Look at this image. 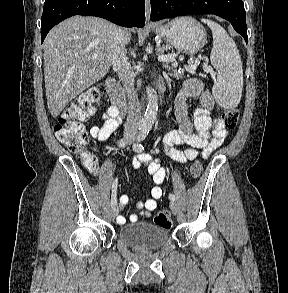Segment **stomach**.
Masks as SVG:
<instances>
[{
    "label": "stomach",
    "mask_w": 288,
    "mask_h": 293,
    "mask_svg": "<svg viewBox=\"0 0 288 293\" xmlns=\"http://www.w3.org/2000/svg\"><path fill=\"white\" fill-rule=\"evenodd\" d=\"M154 32L178 51L193 55L206 43L204 27L191 17L176 18L165 25H156Z\"/></svg>",
    "instance_id": "0dacf381"
}]
</instances>
